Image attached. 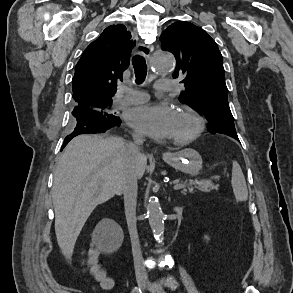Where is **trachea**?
<instances>
[{
    "instance_id": "1",
    "label": "trachea",
    "mask_w": 293,
    "mask_h": 293,
    "mask_svg": "<svg viewBox=\"0 0 293 293\" xmlns=\"http://www.w3.org/2000/svg\"><path fill=\"white\" fill-rule=\"evenodd\" d=\"M132 64L135 71L136 83L142 84L147 75V65L144 57L135 55L132 59Z\"/></svg>"
}]
</instances>
